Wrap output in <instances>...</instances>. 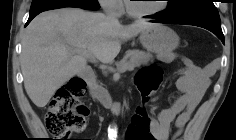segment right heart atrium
<instances>
[{
  "label": "right heart atrium",
  "mask_w": 236,
  "mask_h": 140,
  "mask_svg": "<svg viewBox=\"0 0 236 140\" xmlns=\"http://www.w3.org/2000/svg\"><path fill=\"white\" fill-rule=\"evenodd\" d=\"M99 3L102 8L110 14L120 15L124 11L121 0H99Z\"/></svg>",
  "instance_id": "right-heart-atrium-1"
}]
</instances>
